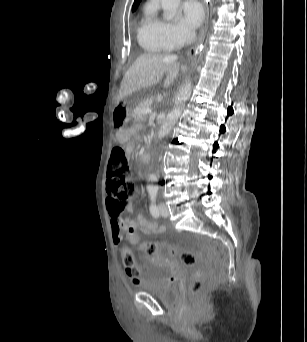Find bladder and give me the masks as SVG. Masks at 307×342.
<instances>
[{
	"mask_svg": "<svg viewBox=\"0 0 307 342\" xmlns=\"http://www.w3.org/2000/svg\"><path fill=\"white\" fill-rule=\"evenodd\" d=\"M138 287L163 300H169L174 292V283L167 271L160 266L150 268L139 281Z\"/></svg>",
	"mask_w": 307,
	"mask_h": 342,
	"instance_id": "31cf9c89",
	"label": "bladder"
}]
</instances>
